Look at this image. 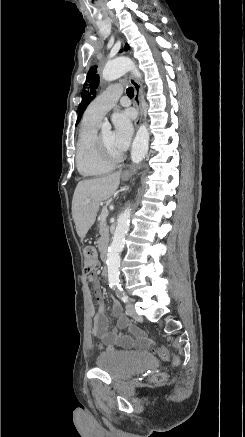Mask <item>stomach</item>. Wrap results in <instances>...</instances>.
<instances>
[{
    "label": "stomach",
    "mask_w": 245,
    "mask_h": 437,
    "mask_svg": "<svg viewBox=\"0 0 245 437\" xmlns=\"http://www.w3.org/2000/svg\"><path fill=\"white\" fill-rule=\"evenodd\" d=\"M132 172H125L122 176L123 180H128L131 176Z\"/></svg>",
    "instance_id": "0dacf381"
}]
</instances>
